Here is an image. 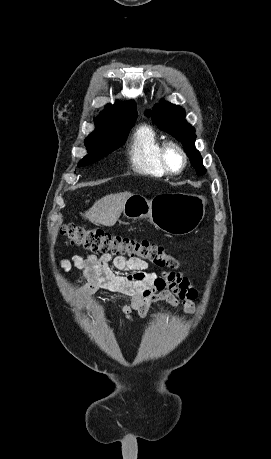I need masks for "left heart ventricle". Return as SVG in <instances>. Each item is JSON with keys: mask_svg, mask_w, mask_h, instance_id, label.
<instances>
[{"mask_svg": "<svg viewBox=\"0 0 271 459\" xmlns=\"http://www.w3.org/2000/svg\"><path fill=\"white\" fill-rule=\"evenodd\" d=\"M168 160H169L170 166L175 170L180 169L182 167V165H183L182 156L175 149H171L169 151Z\"/></svg>", "mask_w": 271, "mask_h": 459, "instance_id": "1", "label": "left heart ventricle"}]
</instances>
